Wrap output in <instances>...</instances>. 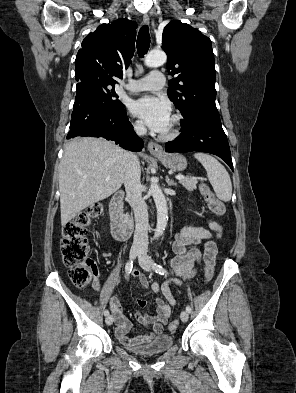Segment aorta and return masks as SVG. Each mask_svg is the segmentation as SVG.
<instances>
[{
    "mask_svg": "<svg viewBox=\"0 0 296 393\" xmlns=\"http://www.w3.org/2000/svg\"><path fill=\"white\" fill-rule=\"evenodd\" d=\"M166 60L167 56L165 52L153 50L147 54L145 58V65L148 67H159L163 65ZM150 192L157 208L155 237H159L165 230L168 221L167 201L158 183L154 180H151Z\"/></svg>",
    "mask_w": 296,
    "mask_h": 393,
    "instance_id": "1",
    "label": "aorta"
}]
</instances>
